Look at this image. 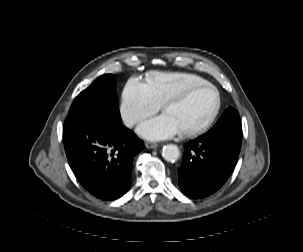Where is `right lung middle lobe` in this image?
<instances>
[{
    "instance_id": "obj_1",
    "label": "right lung middle lobe",
    "mask_w": 303,
    "mask_h": 252,
    "mask_svg": "<svg viewBox=\"0 0 303 252\" xmlns=\"http://www.w3.org/2000/svg\"><path fill=\"white\" fill-rule=\"evenodd\" d=\"M116 80L113 75H102L82 91L74 100L69 116L86 112H107L110 116L121 118L116 95Z\"/></svg>"
}]
</instances>
